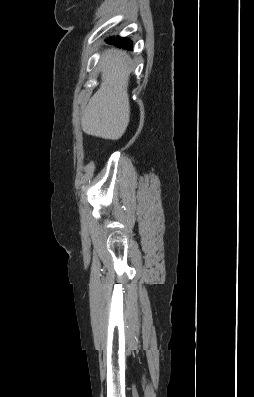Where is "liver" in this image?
I'll list each match as a JSON object with an SVG mask.
<instances>
[{
    "label": "liver",
    "instance_id": "6515ba94",
    "mask_svg": "<svg viewBox=\"0 0 254 397\" xmlns=\"http://www.w3.org/2000/svg\"><path fill=\"white\" fill-rule=\"evenodd\" d=\"M100 66L101 85L83 110L81 127L88 135L118 140L130 120L128 56L124 51L109 49Z\"/></svg>",
    "mask_w": 254,
    "mask_h": 397
}]
</instances>
